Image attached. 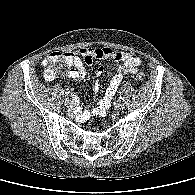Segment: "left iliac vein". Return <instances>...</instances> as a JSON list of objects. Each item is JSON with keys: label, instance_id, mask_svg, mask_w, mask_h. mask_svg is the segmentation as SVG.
I'll use <instances>...</instances> for the list:
<instances>
[{"label": "left iliac vein", "instance_id": "1", "mask_svg": "<svg viewBox=\"0 0 195 195\" xmlns=\"http://www.w3.org/2000/svg\"><path fill=\"white\" fill-rule=\"evenodd\" d=\"M124 108V103L121 101H117L114 105V109L116 111H121Z\"/></svg>", "mask_w": 195, "mask_h": 195}]
</instances>
